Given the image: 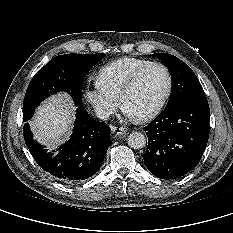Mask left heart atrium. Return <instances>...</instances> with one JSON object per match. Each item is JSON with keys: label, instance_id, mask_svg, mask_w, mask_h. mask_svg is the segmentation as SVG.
<instances>
[{"label": "left heart atrium", "instance_id": "obj_1", "mask_svg": "<svg viewBox=\"0 0 233 233\" xmlns=\"http://www.w3.org/2000/svg\"><path fill=\"white\" fill-rule=\"evenodd\" d=\"M123 113L124 115L129 118V119H135L136 117L131 113L129 112L126 108H123Z\"/></svg>", "mask_w": 233, "mask_h": 233}]
</instances>
